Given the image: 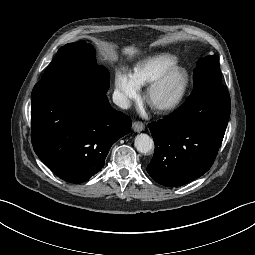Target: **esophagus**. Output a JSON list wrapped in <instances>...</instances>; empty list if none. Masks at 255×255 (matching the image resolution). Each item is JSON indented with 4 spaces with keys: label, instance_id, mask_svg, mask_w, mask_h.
Masks as SVG:
<instances>
[{
    "label": "esophagus",
    "instance_id": "esophagus-1",
    "mask_svg": "<svg viewBox=\"0 0 255 255\" xmlns=\"http://www.w3.org/2000/svg\"><path fill=\"white\" fill-rule=\"evenodd\" d=\"M132 128H133V130H134L135 132H141V131L144 130L145 125H144L142 122H140V121H135V122H133V124H132Z\"/></svg>",
    "mask_w": 255,
    "mask_h": 255
}]
</instances>
